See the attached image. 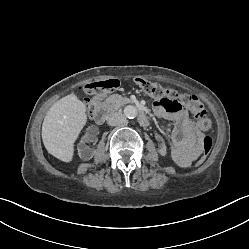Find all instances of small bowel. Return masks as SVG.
Instances as JSON below:
<instances>
[{
    "mask_svg": "<svg viewBox=\"0 0 249 249\" xmlns=\"http://www.w3.org/2000/svg\"><path fill=\"white\" fill-rule=\"evenodd\" d=\"M169 109L161 100H157L153 106L158 117L175 122L169 134L173 156L179 166L187 167L202 147L203 133L177 99L169 101Z\"/></svg>",
    "mask_w": 249,
    "mask_h": 249,
    "instance_id": "1",
    "label": "small bowel"
}]
</instances>
